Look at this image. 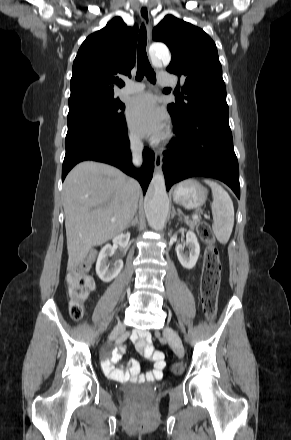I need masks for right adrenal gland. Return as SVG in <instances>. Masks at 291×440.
Masks as SVG:
<instances>
[{
	"mask_svg": "<svg viewBox=\"0 0 291 440\" xmlns=\"http://www.w3.org/2000/svg\"><path fill=\"white\" fill-rule=\"evenodd\" d=\"M137 223H138V217L136 216V217L130 222V224L128 225V228H129V227L136 226Z\"/></svg>",
	"mask_w": 291,
	"mask_h": 440,
	"instance_id": "1",
	"label": "right adrenal gland"
}]
</instances>
